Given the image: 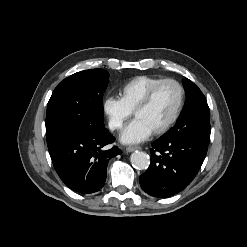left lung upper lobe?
Returning <instances> with one entry per match:
<instances>
[{
    "instance_id": "5c2ea615",
    "label": "left lung upper lobe",
    "mask_w": 247,
    "mask_h": 247,
    "mask_svg": "<svg viewBox=\"0 0 247 247\" xmlns=\"http://www.w3.org/2000/svg\"><path fill=\"white\" fill-rule=\"evenodd\" d=\"M187 100L185 106L172 127L163 136L190 137L210 141V111L205 96L189 79L183 80Z\"/></svg>"
}]
</instances>
